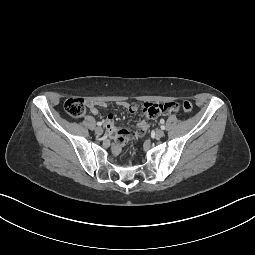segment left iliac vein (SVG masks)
<instances>
[{"label": "left iliac vein", "mask_w": 255, "mask_h": 255, "mask_svg": "<svg viewBox=\"0 0 255 255\" xmlns=\"http://www.w3.org/2000/svg\"><path fill=\"white\" fill-rule=\"evenodd\" d=\"M164 131L163 130H161V129H158V130H156V132H155V136H156V138H162L163 136H164Z\"/></svg>", "instance_id": "left-iliac-vein-1"}]
</instances>
